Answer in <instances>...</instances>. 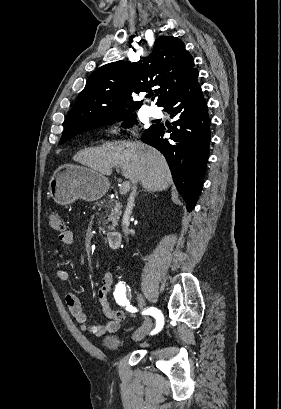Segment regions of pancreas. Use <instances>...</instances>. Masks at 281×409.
Segmentation results:
<instances>
[{"mask_svg":"<svg viewBox=\"0 0 281 409\" xmlns=\"http://www.w3.org/2000/svg\"><path fill=\"white\" fill-rule=\"evenodd\" d=\"M115 205H113V209H111L109 213V219L107 221H111L110 227L108 229H114L118 225V219H120L121 211V202L119 200H114ZM105 225V223H103Z\"/></svg>","mask_w":281,"mask_h":409,"instance_id":"1","label":"pancreas"}]
</instances>
